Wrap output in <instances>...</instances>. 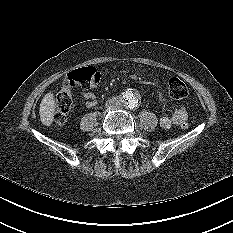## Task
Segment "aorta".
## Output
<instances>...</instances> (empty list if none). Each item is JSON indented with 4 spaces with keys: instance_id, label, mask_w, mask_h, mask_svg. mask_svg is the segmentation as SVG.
Segmentation results:
<instances>
[{
    "instance_id": "obj_1",
    "label": "aorta",
    "mask_w": 233,
    "mask_h": 233,
    "mask_svg": "<svg viewBox=\"0 0 233 233\" xmlns=\"http://www.w3.org/2000/svg\"><path fill=\"white\" fill-rule=\"evenodd\" d=\"M123 97L130 108H134L138 105V99L137 97L133 94L132 91H126L123 94Z\"/></svg>"
}]
</instances>
